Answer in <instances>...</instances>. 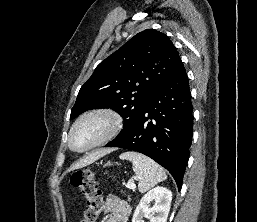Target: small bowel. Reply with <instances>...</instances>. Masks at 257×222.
<instances>
[{
    "label": "small bowel",
    "instance_id": "c3829d8e",
    "mask_svg": "<svg viewBox=\"0 0 257 222\" xmlns=\"http://www.w3.org/2000/svg\"><path fill=\"white\" fill-rule=\"evenodd\" d=\"M104 212L108 215L106 222H128L131 208L118 197L108 195L105 199Z\"/></svg>",
    "mask_w": 257,
    "mask_h": 222
}]
</instances>
